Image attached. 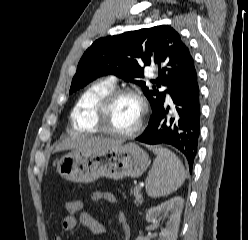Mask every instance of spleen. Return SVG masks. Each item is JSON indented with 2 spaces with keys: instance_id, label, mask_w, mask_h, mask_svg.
Returning <instances> with one entry per match:
<instances>
[{
  "instance_id": "1",
  "label": "spleen",
  "mask_w": 248,
  "mask_h": 240,
  "mask_svg": "<svg viewBox=\"0 0 248 240\" xmlns=\"http://www.w3.org/2000/svg\"><path fill=\"white\" fill-rule=\"evenodd\" d=\"M156 159L146 178V192L152 198L169 195L185 180V169L180 159L169 149L154 147Z\"/></svg>"
}]
</instances>
